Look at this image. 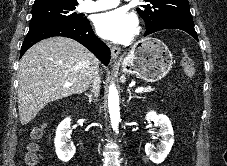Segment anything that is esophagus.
Listing matches in <instances>:
<instances>
[{"label":"esophagus","instance_id":"1","mask_svg":"<svg viewBox=\"0 0 227 166\" xmlns=\"http://www.w3.org/2000/svg\"><path fill=\"white\" fill-rule=\"evenodd\" d=\"M110 50H111V58H112V60H117L118 59V57H119V54H120V48L119 47H117V46H111L110 47Z\"/></svg>","mask_w":227,"mask_h":166}]
</instances>
